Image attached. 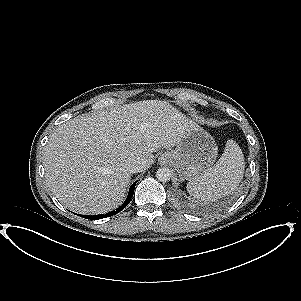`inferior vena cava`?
Segmentation results:
<instances>
[{
	"mask_svg": "<svg viewBox=\"0 0 301 301\" xmlns=\"http://www.w3.org/2000/svg\"><path fill=\"white\" fill-rule=\"evenodd\" d=\"M143 166L137 163H132L128 166V171L130 173L141 172Z\"/></svg>",
	"mask_w": 301,
	"mask_h": 301,
	"instance_id": "inferior-vena-cava-1",
	"label": "inferior vena cava"
}]
</instances>
